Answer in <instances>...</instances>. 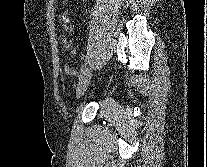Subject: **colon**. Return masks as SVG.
Instances as JSON below:
<instances>
[{
  "label": "colon",
  "mask_w": 207,
  "mask_h": 167,
  "mask_svg": "<svg viewBox=\"0 0 207 167\" xmlns=\"http://www.w3.org/2000/svg\"><path fill=\"white\" fill-rule=\"evenodd\" d=\"M62 22H63V24H64L65 26H68L69 20H68V18H67L66 16H63V17H62Z\"/></svg>",
  "instance_id": "5ec220e1"
}]
</instances>
